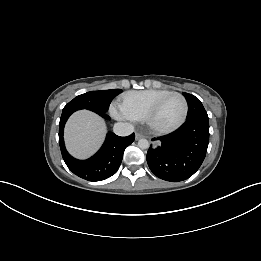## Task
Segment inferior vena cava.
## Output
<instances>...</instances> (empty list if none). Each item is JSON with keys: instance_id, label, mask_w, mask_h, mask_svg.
<instances>
[{"instance_id": "obj_1", "label": "inferior vena cava", "mask_w": 261, "mask_h": 261, "mask_svg": "<svg viewBox=\"0 0 261 261\" xmlns=\"http://www.w3.org/2000/svg\"><path fill=\"white\" fill-rule=\"evenodd\" d=\"M113 131L118 136H128L134 132V127L129 123L118 122L114 125Z\"/></svg>"}]
</instances>
